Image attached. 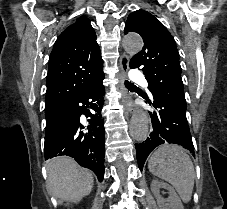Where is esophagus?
Wrapping results in <instances>:
<instances>
[{
	"label": "esophagus",
	"mask_w": 227,
	"mask_h": 209,
	"mask_svg": "<svg viewBox=\"0 0 227 209\" xmlns=\"http://www.w3.org/2000/svg\"><path fill=\"white\" fill-rule=\"evenodd\" d=\"M129 70V57L128 55H122L120 57V89L123 92L122 102L125 107L130 109V113H133V116H136L137 120H140L141 117H145L146 121H150V113L146 112V108H136L135 105H129L131 98L129 97L125 87L124 80L127 78V73Z\"/></svg>",
	"instance_id": "esophagus-1"
}]
</instances>
